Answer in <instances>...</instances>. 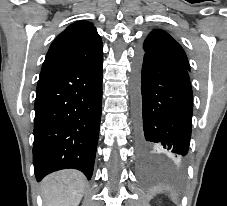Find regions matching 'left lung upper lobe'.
<instances>
[{"instance_id": "left-lung-upper-lobe-1", "label": "left lung upper lobe", "mask_w": 227, "mask_h": 206, "mask_svg": "<svg viewBox=\"0 0 227 206\" xmlns=\"http://www.w3.org/2000/svg\"><path fill=\"white\" fill-rule=\"evenodd\" d=\"M140 52L144 56L167 60L190 70L188 59L182 47L163 30L152 31L145 39Z\"/></svg>"}]
</instances>
